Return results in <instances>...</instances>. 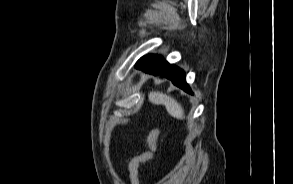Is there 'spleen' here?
I'll return each instance as SVG.
<instances>
[{
    "instance_id": "obj_1",
    "label": "spleen",
    "mask_w": 293,
    "mask_h": 184,
    "mask_svg": "<svg viewBox=\"0 0 293 184\" xmlns=\"http://www.w3.org/2000/svg\"><path fill=\"white\" fill-rule=\"evenodd\" d=\"M149 101L155 105H164L167 112L176 119H184V110L180 103L173 97L161 92H150L148 95Z\"/></svg>"
}]
</instances>
